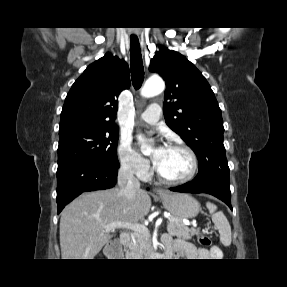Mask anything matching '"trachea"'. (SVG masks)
<instances>
[{
  "label": "trachea",
  "instance_id": "3493384b",
  "mask_svg": "<svg viewBox=\"0 0 287 287\" xmlns=\"http://www.w3.org/2000/svg\"><path fill=\"white\" fill-rule=\"evenodd\" d=\"M130 69L134 88L141 87L144 80V67L141 57L140 43L137 37L130 38Z\"/></svg>",
  "mask_w": 287,
  "mask_h": 287
}]
</instances>
